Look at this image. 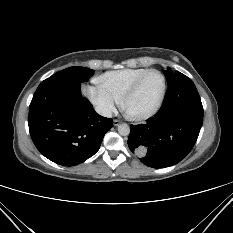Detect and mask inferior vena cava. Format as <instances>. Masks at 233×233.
<instances>
[{"label": "inferior vena cava", "instance_id": "obj_1", "mask_svg": "<svg viewBox=\"0 0 233 233\" xmlns=\"http://www.w3.org/2000/svg\"><path fill=\"white\" fill-rule=\"evenodd\" d=\"M96 112L104 117H112V111L106 107H96Z\"/></svg>", "mask_w": 233, "mask_h": 233}]
</instances>
